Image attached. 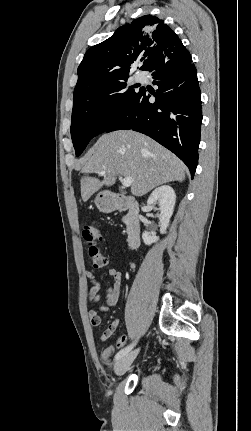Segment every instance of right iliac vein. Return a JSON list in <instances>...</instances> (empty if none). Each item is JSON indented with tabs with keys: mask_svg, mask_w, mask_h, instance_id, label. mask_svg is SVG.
I'll use <instances>...</instances> for the list:
<instances>
[{
	"mask_svg": "<svg viewBox=\"0 0 251 431\" xmlns=\"http://www.w3.org/2000/svg\"><path fill=\"white\" fill-rule=\"evenodd\" d=\"M138 352L139 350L137 349L121 357L115 363V366H114L115 374L118 376L123 375L128 370V368L130 367L134 359L136 358Z\"/></svg>",
	"mask_w": 251,
	"mask_h": 431,
	"instance_id": "right-iliac-vein-1",
	"label": "right iliac vein"
}]
</instances>
